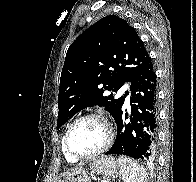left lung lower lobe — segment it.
Listing matches in <instances>:
<instances>
[{"instance_id":"0a47b994","label":"left lung lower lobe","mask_w":196,"mask_h":182,"mask_svg":"<svg viewBox=\"0 0 196 182\" xmlns=\"http://www.w3.org/2000/svg\"><path fill=\"white\" fill-rule=\"evenodd\" d=\"M130 103V122L126 121L129 114L122 105L116 119L117 137L106 154L153 159L158 133V91L151 60L131 86Z\"/></svg>"}]
</instances>
